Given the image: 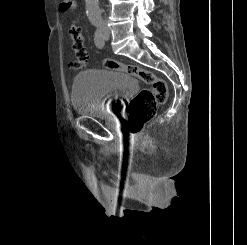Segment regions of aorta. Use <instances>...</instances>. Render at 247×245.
<instances>
[{
	"label": "aorta",
	"mask_w": 247,
	"mask_h": 245,
	"mask_svg": "<svg viewBox=\"0 0 247 245\" xmlns=\"http://www.w3.org/2000/svg\"><path fill=\"white\" fill-rule=\"evenodd\" d=\"M86 13L92 24L101 22V11L99 9V0H85Z\"/></svg>",
	"instance_id": "aorta-1"
}]
</instances>
